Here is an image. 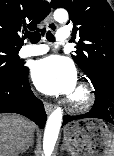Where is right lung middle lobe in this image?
<instances>
[{
  "instance_id": "dd1d6c3e",
  "label": "right lung middle lobe",
  "mask_w": 114,
  "mask_h": 156,
  "mask_svg": "<svg viewBox=\"0 0 114 156\" xmlns=\"http://www.w3.org/2000/svg\"><path fill=\"white\" fill-rule=\"evenodd\" d=\"M18 51L0 49V82H12L22 74L25 67Z\"/></svg>"
}]
</instances>
